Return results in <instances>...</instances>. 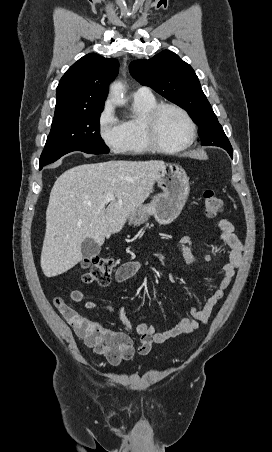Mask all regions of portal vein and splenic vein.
Returning a JSON list of instances; mask_svg holds the SVG:
<instances>
[{
    "mask_svg": "<svg viewBox=\"0 0 272 452\" xmlns=\"http://www.w3.org/2000/svg\"><path fill=\"white\" fill-rule=\"evenodd\" d=\"M115 199L116 198H115V196L112 193H107L106 196H105V202H109V201H112V200H115Z\"/></svg>",
    "mask_w": 272,
    "mask_h": 452,
    "instance_id": "portal-vein-and-splenic-vein-1",
    "label": "portal vein and splenic vein"
}]
</instances>
